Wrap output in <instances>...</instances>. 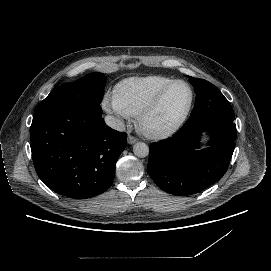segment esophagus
Here are the masks:
<instances>
[{
	"label": "esophagus",
	"mask_w": 271,
	"mask_h": 271,
	"mask_svg": "<svg viewBox=\"0 0 271 271\" xmlns=\"http://www.w3.org/2000/svg\"><path fill=\"white\" fill-rule=\"evenodd\" d=\"M137 141H138V139L136 137L128 135V137H127L128 144L132 145V144L136 143Z\"/></svg>",
	"instance_id": "esophagus-1"
}]
</instances>
